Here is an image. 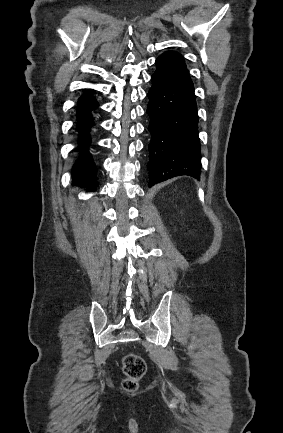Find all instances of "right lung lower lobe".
Returning <instances> with one entry per match:
<instances>
[{
    "mask_svg": "<svg viewBox=\"0 0 283 433\" xmlns=\"http://www.w3.org/2000/svg\"><path fill=\"white\" fill-rule=\"evenodd\" d=\"M97 107V101L89 92L82 95L78 100L77 121L81 135V138L79 139L81 156L73 167V183L75 185L87 187L88 191H93L97 184L95 165L90 153L88 152L90 138L87 134L89 128L93 125L91 110L96 109Z\"/></svg>",
    "mask_w": 283,
    "mask_h": 433,
    "instance_id": "98d812e1",
    "label": "right lung lower lobe"
}]
</instances>
